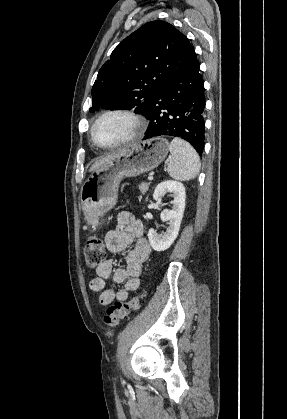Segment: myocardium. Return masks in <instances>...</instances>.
Returning a JSON list of instances; mask_svg holds the SVG:
<instances>
[{
	"label": "myocardium",
	"instance_id": "obj_1",
	"mask_svg": "<svg viewBox=\"0 0 287 419\" xmlns=\"http://www.w3.org/2000/svg\"><path fill=\"white\" fill-rule=\"evenodd\" d=\"M111 115H119V116H123L127 119H129L131 121V123L133 124V131L132 133L126 137L125 139L113 143V144H102L100 142H98L95 138L94 135V131H95V127L96 125L105 117L107 116H111ZM145 129V123L143 118L138 115L136 112L130 110V109H126V108H111L108 110H105L104 112H102L92 123L91 128H90V137L92 142L99 148L102 149H114V148H118L124 145H127L133 141H135L137 138H139Z\"/></svg>",
	"mask_w": 287,
	"mask_h": 419
}]
</instances>
